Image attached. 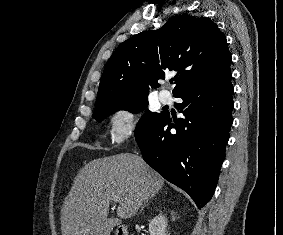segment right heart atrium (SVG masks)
Returning a JSON list of instances; mask_svg holds the SVG:
<instances>
[{
  "label": "right heart atrium",
  "mask_w": 283,
  "mask_h": 235,
  "mask_svg": "<svg viewBox=\"0 0 283 235\" xmlns=\"http://www.w3.org/2000/svg\"><path fill=\"white\" fill-rule=\"evenodd\" d=\"M138 112L123 106L116 109L110 117V137L113 143L121 144L132 135L138 122Z\"/></svg>",
  "instance_id": "d8ad5b80"
}]
</instances>
